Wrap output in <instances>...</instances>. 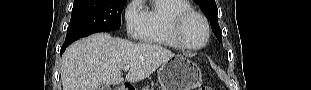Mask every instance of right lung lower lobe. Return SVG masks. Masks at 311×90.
<instances>
[{"label": "right lung lower lobe", "instance_id": "1", "mask_svg": "<svg viewBox=\"0 0 311 90\" xmlns=\"http://www.w3.org/2000/svg\"><path fill=\"white\" fill-rule=\"evenodd\" d=\"M70 45V44H63L62 48H61V52L60 54L62 55V53L65 51L66 47Z\"/></svg>", "mask_w": 311, "mask_h": 90}]
</instances>
